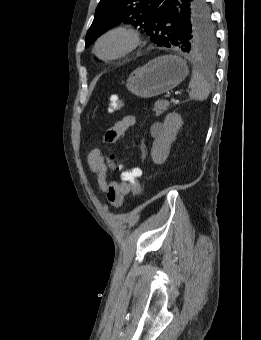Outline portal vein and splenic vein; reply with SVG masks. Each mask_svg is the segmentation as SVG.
Listing matches in <instances>:
<instances>
[{
	"label": "portal vein and splenic vein",
	"instance_id": "portal-vein-and-splenic-vein-1",
	"mask_svg": "<svg viewBox=\"0 0 261 340\" xmlns=\"http://www.w3.org/2000/svg\"><path fill=\"white\" fill-rule=\"evenodd\" d=\"M171 100H173L174 98H172L171 96H168Z\"/></svg>",
	"mask_w": 261,
	"mask_h": 340
}]
</instances>
